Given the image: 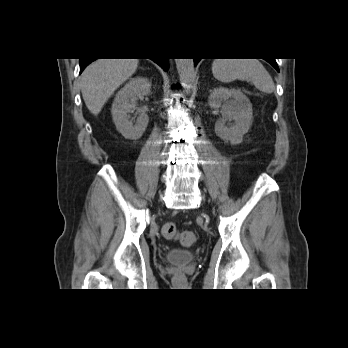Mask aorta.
<instances>
[{"label":"aorta","mask_w":348,"mask_h":348,"mask_svg":"<svg viewBox=\"0 0 348 348\" xmlns=\"http://www.w3.org/2000/svg\"><path fill=\"white\" fill-rule=\"evenodd\" d=\"M175 62L180 84L184 88V92L188 94L190 93L196 77L194 61L193 59H175Z\"/></svg>","instance_id":"aorta-1"}]
</instances>
